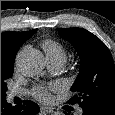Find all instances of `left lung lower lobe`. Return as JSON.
Masks as SVG:
<instances>
[{"instance_id": "0a47b994", "label": "left lung lower lobe", "mask_w": 115, "mask_h": 115, "mask_svg": "<svg viewBox=\"0 0 115 115\" xmlns=\"http://www.w3.org/2000/svg\"><path fill=\"white\" fill-rule=\"evenodd\" d=\"M66 115H70V114L66 113ZM82 115H104V114L83 109V114Z\"/></svg>"}]
</instances>
